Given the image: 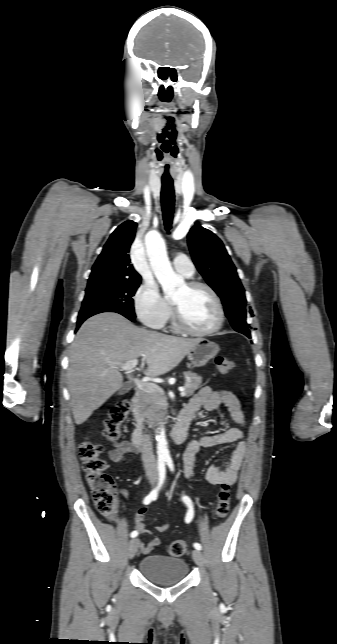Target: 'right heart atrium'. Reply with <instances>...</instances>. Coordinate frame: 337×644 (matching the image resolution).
Here are the masks:
<instances>
[{"label":"right heart atrium","instance_id":"d8ad5b80","mask_svg":"<svg viewBox=\"0 0 337 644\" xmlns=\"http://www.w3.org/2000/svg\"><path fill=\"white\" fill-rule=\"evenodd\" d=\"M135 309L141 322L154 329L163 327L171 312L168 301L154 281L140 285L135 294Z\"/></svg>","mask_w":337,"mask_h":644}]
</instances>
